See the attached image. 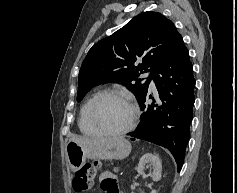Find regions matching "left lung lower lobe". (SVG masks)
I'll return each mask as SVG.
<instances>
[{"mask_svg":"<svg viewBox=\"0 0 237 193\" xmlns=\"http://www.w3.org/2000/svg\"><path fill=\"white\" fill-rule=\"evenodd\" d=\"M159 100L148 104V92L139 105L144 111L138 128L128 136L169 149L180 171L189 139L195 101L193 67L181 39L153 76ZM135 140V139H132Z\"/></svg>","mask_w":237,"mask_h":193,"instance_id":"obj_1","label":"left lung lower lobe"}]
</instances>
